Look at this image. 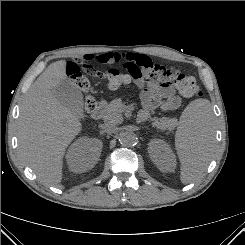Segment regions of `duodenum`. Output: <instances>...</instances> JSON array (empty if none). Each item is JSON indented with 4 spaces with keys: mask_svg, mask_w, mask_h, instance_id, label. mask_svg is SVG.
Instances as JSON below:
<instances>
[{
    "mask_svg": "<svg viewBox=\"0 0 245 245\" xmlns=\"http://www.w3.org/2000/svg\"><path fill=\"white\" fill-rule=\"evenodd\" d=\"M104 109H105V103L103 101L98 102L92 111L91 114L92 118L95 120L100 119L103 115Z\"/></svg>",
    "mask_w": 245,
    "mask_h": 245,
    "instance_id": "obj_1",
    "label": "duodenum"
}]
</instances>
